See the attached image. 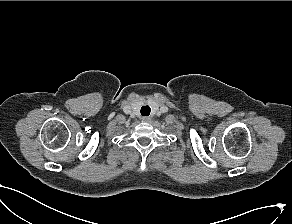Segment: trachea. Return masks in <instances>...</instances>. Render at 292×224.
Returning <instances> with one entry per match:
<instances>
[{
	"label": "trachea",
	"mask_w": 292,
	"mask_h": 224,
	"mask_svg": "<svg viewBox=\"0 0 292 224\" xmlns=\"http://www.w3.org/2000/svg\"><path fill=\"white\" fill-rule=\"evenodd\" d=\"M150 111H151V109H150V107L148 105H144V106L141 107V114L143 116H149Z\"/></svg>",
	"instance_id": "obj_1"
}]
</instances>
